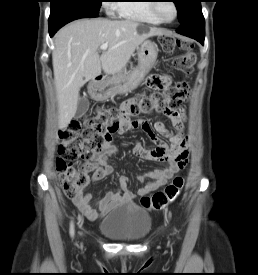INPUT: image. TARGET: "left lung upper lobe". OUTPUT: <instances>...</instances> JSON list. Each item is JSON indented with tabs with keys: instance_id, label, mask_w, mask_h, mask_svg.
Masks as SVG:
<instances>
[{
	"instance_id": "5c2ea615",
	"label": "left lung upper lobe",
	"mask_w": 258,
	"mask_h": 275,
	"mask_svg": "<svg viewBox=\"0 0 258 275\" xmlns=\"http://www.w3.org/2000/svg\"><path fill=\"white\" fill-rule=\"evenodd\" d=\"M176 5L177 12H178V19L179 22L182 24L185 22L189 15L191 9L199 4V0H173Z\"/></svg>"
}]
</instances>
